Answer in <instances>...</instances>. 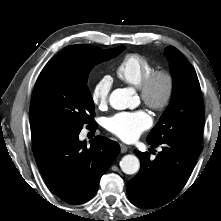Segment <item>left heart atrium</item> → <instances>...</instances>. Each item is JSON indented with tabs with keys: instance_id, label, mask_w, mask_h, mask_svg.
Instances as JSON below:
<instances>
[{
	"instance_id": "obj_1",
	"label": "left heart atrium",
	"mask_w": 221,
	"mask_h": 221,
	"mask_svg": "<svg viewBox=\"0 0 221 221\" xmlns=\"http://www.w3.org/2000/svg\"><path fill=\"white\" fill-rule=\"evenodd\" d=\"M152 124V119L143 110L120 112L106 121L107 129L124 141H133Z\"/></svg>"
}]
</instances>
